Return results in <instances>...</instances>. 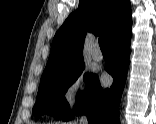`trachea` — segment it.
<instances>
[{
	"label": "trachea",
	"mask_w": 156,
	"mask_h": 124,
	"mask_svg": "<svg viewBox=\"0 0 156 124\" xmlns=\"http://www.w3.org/2000/svg\"><path fill=\"white\" fill-rule=\"evenodd\" d=\"M99 46L101 50H108V45H107V38L106 36H101L99 38Z\"/></svg>",
	"instance_id": "3493384b"
}]
</instances>
